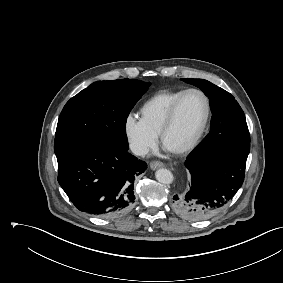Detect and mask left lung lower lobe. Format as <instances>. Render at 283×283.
<instances>
[{
  "label": "left lung lower lobe",
  "instance_id": "0a47b994",
  "mask_svg": "<svg viewBox=\"0 0 283 283\" xmlns=\"http://www.w3.org/2000/svg\"><path fill=\"white\" fill-rule=\"evenodd\" d=\"M248 154L217 150L189 155L185 166L191 184L173 197L175 212L184 219L204 220L218 213L242 186Z\"/></svg>",
  "mask_w": 283,
  "mask_h": 283
}]
</instances>
